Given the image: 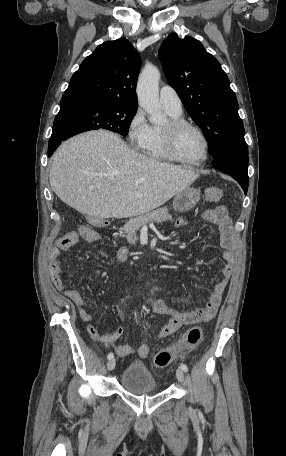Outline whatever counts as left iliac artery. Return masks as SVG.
I'll use <instances>...</instances> for the list:
<instances>
[{"instance_id": "1", "label": "left iliac artery", "mask_w": 286, "mask_h": 456, "mask_svg": "<svg viewBox=\"0 0 286 456\" xmlns=\"http://www.w3.org/2000/svg\"><path fill=\"white\" fill-rule=\"evenodd\" d=\"M180 368H181L184 372H187V371H188V367H187L186 364L181 363Z\"/></svg>"}]
</instances>
